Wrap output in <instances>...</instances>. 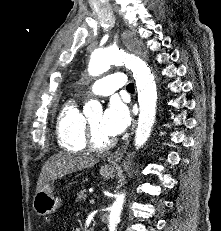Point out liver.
Masks as SVG:
<instances>
[{"instance_id":"liver-1","label":"liver","mask_w":221,"mask_h":231,"mask_svg":"<svg viewBox=\"0 0 221 231\" xmlns=\"http://www.w3.org/2000/svg\"><path fill=\"white\" fill-rule=\"evenodd\" d=\"M98 162L97 158L85 155H74L61 152L50 157L44 164L38 178L36 192L43 186L57 178H62L68 173L76 170H82L94 166Z\"/></svg>"}]
</instances>
